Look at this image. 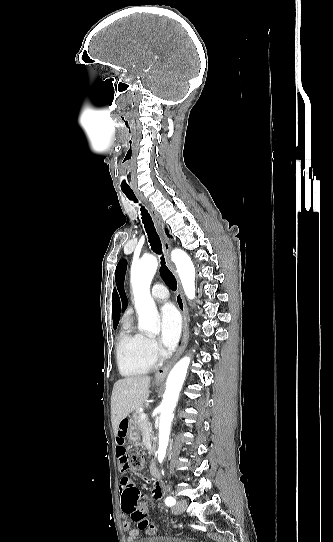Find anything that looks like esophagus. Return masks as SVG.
<instances>
[{
  "label": "esophagus",
  "mask_w": 333,
  "mask_h": 542,
  "mask_svg": "<svg viewBox=\"0 0 333 542\" xmlns=\"http://www.w3.org/2000/svg\"><path fill=\"white\" fill-rule=\"evenodd\" d=\"M136 194L142 200V202L147 206L148 210L150 211V213H151V215H152V217L154 219L155 225H156V227H157V229H158V231H159V233L161 235L163 250H164L165 255H166L167 265L172 270V272L174 273V275L176 277V280H177L178 288H177V292H176V295H175V300H176V303H177V307L180 310V312L182 314V317H183V334H182V340H181V343H180V347L177 350L176 354L174 355L173 359L170 362H168L166 365H164L163 367H160L157 370V372L155 373V382L158 383V382H162L166 378L170 368L176 362V360H178V358L182 355V353L184 352V350H185V348L187 346L188 339H189V321H190V317H189V313L187 312L186 307H185L182 288H181V284H180L177 272H176L175 267H174V265H173V263L171 262V259H170L171 241L165 235V233L163 231L161 217L158 214V212L156 211V209L153 207V205L145 197H143V195L141 193L136 192Z\"/></svg>",
  "instance_id": "obj_1"
}]
</instances>
